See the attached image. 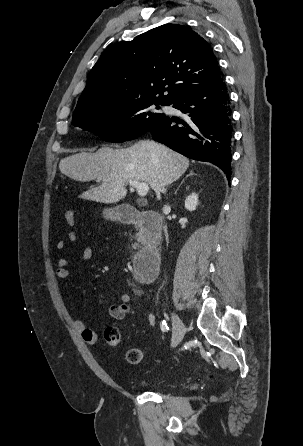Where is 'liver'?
I'll return each mask as SVG.
<instances>
[{"label":"liver","instance_id":"obj_1","mask_svg":"<svg viewBox=\"0 0 303 446\" xmlns=\"http://www.w3.org/2000/svg\"><path fill=\"white\" fill-rule=\"evenodd\" d=\"M188 167V158L152 140H140L126 149L105 146L95 153L65 157L59 163L61 173L71 179L101 182L80 198L107 204L124 199L129 181L146 182L159 197Z\"/></svg>","mask_w":303,"mask_h":446}]
</instances>
